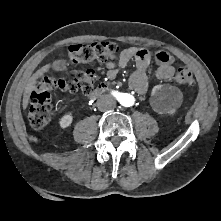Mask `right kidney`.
Returning a JSON list of instances; mask_svg holds the SVG:
<instances>
[{
  "mask_svg": "<svg viewBox=\"0 0 221 221\" xmlns=\"http://www.w3.org/2000/svg\"><path fill=\"white\" fill-rule=\"evenodd\" d=\"M72 121H73V116L70 114H66L59 121L60 127L67 128L68 126L71 125Z\"/></svg>",
  "mask_w": 221,
  "mask_h": 221,
  "instance_id": "obj_1",
  "label": "right kidney"
}]
</instances>
